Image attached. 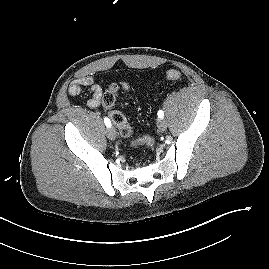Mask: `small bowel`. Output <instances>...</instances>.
<instances>
[{
	"mask_svg": "<svg viewBox=\"0 0 269 269\" xmlns=\"http://www.w3.org/2000/svg\"><path fill=\"white\" fill-rule=\"evenodd\" d=\"M85 89L91 93L87 106L89 108L98 107L102 100V89L91 76H84L73 80L68 87V93L70 96H77L82 94Z\"/></svg>",
	"mask_w": 269,
	"mask_h": 269,
	"instance_id": "obj_1",
	"label": "small bowel"
}]
</instances>
